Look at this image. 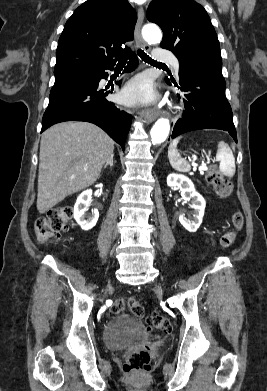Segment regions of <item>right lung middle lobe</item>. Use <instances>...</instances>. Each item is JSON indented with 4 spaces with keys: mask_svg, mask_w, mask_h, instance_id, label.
Segmentation results:
<instances>
[{
    "mask_svg": "<svg viewBox=\"0 0 267 391\" xmlns=\"http://www.w3.org/2000/svg\"><path fill=\"white\" fill-rule=\"evenodd\" d=\"M81 75L82 74H72V75H65V76L55 77V85L71 81L73 79L81 77Z\"/></svg>",
    "mask_w": 267,
    "mask_h": 391,
    "instance_id": "right-lung-middle-lobe-1",
    "label": "right lung middle lobe"
}]
</instances>
